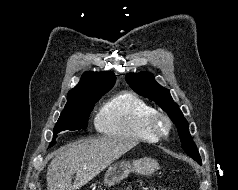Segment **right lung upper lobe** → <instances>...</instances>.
Returning a JSON list of instances; mask_svg holds the SVG:
<instances>
[{
    "label": "right lung upper lobe",
    "instance_id": "right-lung-upper-lobe-1",
    "mask_svg": "<svg viewBox=\"0 0 238 190\" xmlns=\"http://www.w3.org/2000/svg\"><path fill=\"white\" fill-rule=\"evenodd\" d=\"M115 83L113 72H85L80 82L68 93L66 105H72L86 96L108 92Z\"/></svg>",
    "mask_w": 238,
    "mask_h": 190
}]
</instances>
